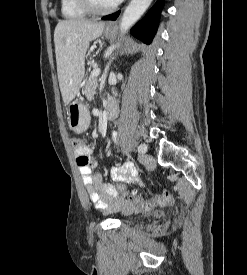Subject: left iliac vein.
I'll return each instance as SVG.
<instances>
[{
    "instance_id": "obj_1",
    "label": "left iliac vein",
    "mask_w": 247,
    "mask_h": 275,
    "mask_svg": "<svg viewBox=\"0 0 247 275\" xmlns=\"http://www.w3.org/2000/svg\"><path fill=\"white\" fill-rule=\"evenodd\" d=\"M139 160L146 168L150 170L154 169L156 166L155 159L145 153H140Z\"/></svg>"
}]
</instances>
